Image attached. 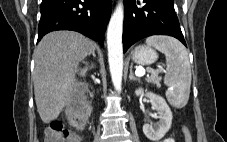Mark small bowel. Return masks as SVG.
Here are the masks:
<instances>
[{"instance_id":"obj_1","label":"small bowel","mask_w":227,"mask_h":142,"mask_svg":"<svg viewBox=\"0 0 227 142\" xmlns=\"http://www.w3.org/2000/svg\"><path fill=\"white\" fill-rule=\"evenodd\" d=\"M159 142H175V140L172 137H166L163 140L159 141Z\"/></svg>"}]
</instances>
